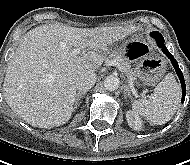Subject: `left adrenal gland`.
I'll list each match as a JSON object with an SVG mask.
<instances>
[{
  "mask_svg": "<svg viewBox=\"0 0 190 165\" xmlns=\"http://www.w3.org/2000/svg\"><path fill=\"white\" fill-rule=\"evenodd\" d=\"M124 97H125V99H127V98L132 99L130 89L126 84L124 86Z\"/></svg>",
  "mask_w": 190,
  "mask_h": 165,
  "instance_id": "1",
  "label": "left adrenal gland"
}]
</instances>
